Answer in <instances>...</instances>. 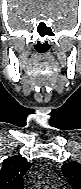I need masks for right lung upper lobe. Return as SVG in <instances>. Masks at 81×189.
<instances>
[{
  "mask_svg": "<svg viewBox=\"0 0 81 189\" xmlns=\"http://www.w3.org/2000/svg\"><path fill=\"white\" fill-rule=\"evenodd\" d=\"M31 164L22 156H12L2 162L0 189H24L23 176Z\"/></svg>",
  "mask_w": 81,
  "mask_h": 189,
  "instance_id": "right-lung-upper-lobe-1",
  "label": "right lung upper lobe"
}]
</instances>
